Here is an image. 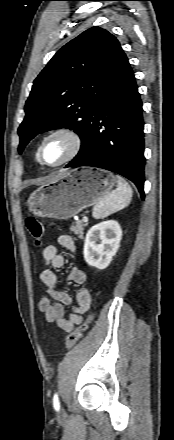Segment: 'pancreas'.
<instances>
[{"mask_svg":"<svg viewBox=\"0 0 174 440\" xmlns=\"http://www.w3.org/2000/svg\"><path fill=\"white\" fill-rule=\"evenodd\" d=\"M85 226H87V223H84V222H82V221H76V222H73V224H72V226H71V231H73V233L75 234V235H78V237L80 238V239H83L84 238V227Z\"/></svg>","mask_w":174,"mask_h":440,"instance_id":"pancreas-1","label":"pancreas"}]
</instances>
